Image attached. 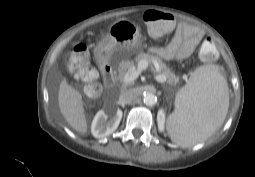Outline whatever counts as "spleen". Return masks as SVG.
I'll list each match as a JSON object with an SVG mask.
<instances>
[{
    "label": "spleen",
    "mask_w": 255,
    "mask_h": 177,
    "mask_svg": "<svg viewBox=\"0 0 255 177\" xmlns=\"http://www.w3.org/2000/svg\"><path fill=\"white\" fill-rule=\"evenodd\" d=\"M176 104V111L167 119L172 141L189 147L211 136L222 125L229 107L227 81L218 67H198L177 93Z\"/></svg>",
    "instance_id": "1"
}]
</instances>
